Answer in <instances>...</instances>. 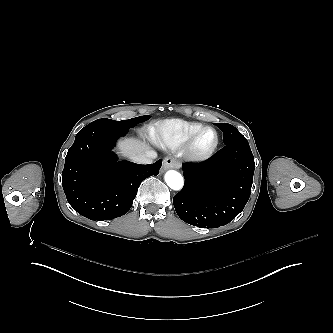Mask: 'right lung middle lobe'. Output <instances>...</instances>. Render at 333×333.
I'll return each instance as SVG.
<instances>
[{
	"label": "right lung middle lobe",
	"instance_id": "right-lung-middle-lobe-1",
	"mask_svg": "<svg viewBox=\"0 0 333 333\" xmlns=\"http://www.w3.org/2000/svg\"><path fill=\"white\" fill-rule=\"evenodd\" d=\"M149 118H150L149 115L140 116V117H136V118H132V119H128V120H122V121H113V120H110L107 118H102V119L93 121V123L104 124V125H108V126H112L115 128H119V129L128 131L130 128L136 126L137 124H139L141 122L148 120Z\"/></svg>",
	"mask_w": 333,
	"mask_h": 333
}]
</instances>
